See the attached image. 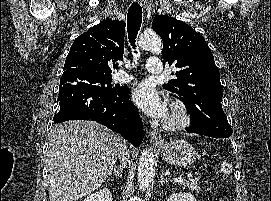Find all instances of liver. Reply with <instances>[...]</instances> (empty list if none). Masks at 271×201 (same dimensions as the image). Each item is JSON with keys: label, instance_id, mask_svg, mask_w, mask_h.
Listing matches in <instances>:
<instances>
[{"label": "liver", "instance_id": "6515ba94", "mask_svg": "<svg viewBox=\"0 0 271 201\" xmlns=\"http://www.w3.org/2000/svg\"><path fill=\"white\" fill-rule=\"evenodd\" d=\"M118 136L92 121L53 127L47 153L50 201H77L105 182L121 150Z\"/></svg>", "mask_w": 271, "mask_h": 201}]
</instances>
